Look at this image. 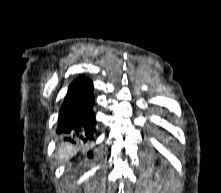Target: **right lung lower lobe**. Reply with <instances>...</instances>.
Wrapping results in <instances>:
<instances>
[{"instance_id":"1","label":"right lung lower lobe","mask_w":221,"mask_h":193,"mask_svg":"<svg viewBox=\"0 0 221 193\" xmlns=\"http://www.w3.org/2000/svg\"><path fill=\"white\" fill-rule=\"evenodd\" d=\"M93 103L92 82L85 77L73 81L60 110L57 133L71 142L94 140L96 121Z\"/></svg>"}]
</instances>
